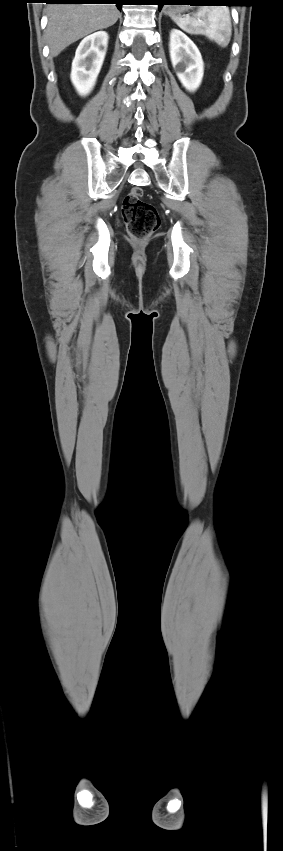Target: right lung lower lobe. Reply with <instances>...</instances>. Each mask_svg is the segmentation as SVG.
<instances>
[{
  "label": "right lung lower lobe",
  "mask_w": 283,
  "mask_h": 851,
  "mask_svg": "<svg viewBox=\"0 0 283 851\" xmlns=\"http://www.w3.org/2000/svg\"><path fill=\"white\" fill-rule=\"evenodd\" d=\"M126 0H46L47 4H116L118 9L125 4Z\"/></svg>",
  "instance_id": "1"
}]
</instances>
